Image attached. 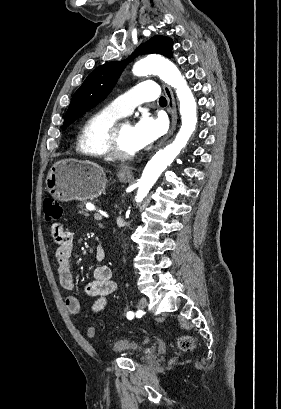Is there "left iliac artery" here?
Instances as JSON below:
<instances>
[{"instance_id":"1","label":"left iliac artery","mask_w":281,"mask_h":409,"mask_svg":"<svg viewBox=\"0 0 281 409\" xmlns=\"http://www.w3.org/2000/svg\"><path fill=\"white\" fill-rule=\"evenodd\" d=\"M134 317V313L132 312V311H129L128 313H127V318L128 319H132Z\"/></svg>"}]
</instances>
